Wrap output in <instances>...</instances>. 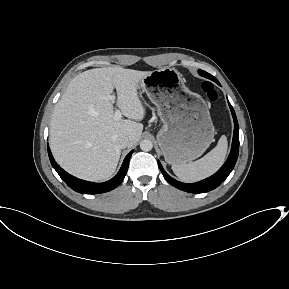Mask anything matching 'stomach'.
Segmentation results:
<instances>
[{
  "mask_svg": "<svg viewBox=\"0 0 289 289\" xmlns=\"http://www.w3.org/2000/svg\"><path fill=\"white\" fill-rule=\"evenodd\" d=\"M156 105L163 123L157 134L168 164H185L200 157L214 141L215 128L207 103L185 86L175 68L150 72L140 86Z\"/></svg>",
  "mask_w": 289,
  "mask_h": 289,
  "instance_id": "1",
  "label": "stomach"
}]
</instances>
